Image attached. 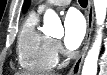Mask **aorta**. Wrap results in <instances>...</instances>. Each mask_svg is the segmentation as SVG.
<instances>
[{
  "mask_svg": "<svg viewBox=\"0 0 107 75\" xmlns=\"http://www.w3.org/2000/svg\"><path fill=\"white\" fill-rule=\"evenodd\" d=\"M94 8L96 23L99 28L97 29L95 42L85 58L81 75L97 74V64L102 42V28L107 13V0H94ZM43 31L45 34L52 36H59L64 33L60 18L52 9H48L44 14Z\"/></svg>",
  "mask_w": 107,
  "mask_h": 75,
  "instance_id": "1",
  "label": "aorta"
}]
</instances>
